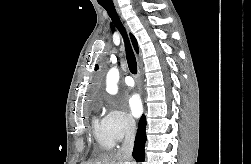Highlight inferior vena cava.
<instances>
[{
  "label": "inferior vena cava",
  "instance_id": "1",
  "mask_svg": "<svg viewBox=\"0 0 251 164\" xmlns=\"http://www.w3.org/2000/svg\"><path fill=\"white\" fill-rule=\"evenodd\" d=\"M135 140V121L129 118L126 123V135L122 147L120 148L118 154L127 161V164H131V155L133 151Z\"/></svg>",
  "mask_w": 251,
  "mask_h": 164
}]
</instances>
